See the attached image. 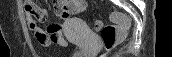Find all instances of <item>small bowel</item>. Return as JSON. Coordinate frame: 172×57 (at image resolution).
<instances>
[{"label":"small bowel","instance_id":"small-bowel-1","mask_svg":"<svg viewBox=\"0 0 172 57\" xmlns=\"http://www.w3.org/2000/svg\"><path fill=\"white\" fill-rule=\"evenodd\" d=\"M28 3L36 6L34 1H24L25 9ZM54 7L56 9V16L62 20V23H51L46 27L38 24V22H44L47 18V12L45 9L39 8L40 13L37 15H30L26 13V21L31 31L34 33L37 41L42 46H51L57 44L63 47L68 45V41L62 36V29L65 28L68 17L72 14H78L84 10L86 1L83 0H56L54 1Z\"/></svg>","mask_w":172,"mask_h":57}]
</instances>
